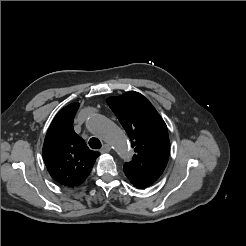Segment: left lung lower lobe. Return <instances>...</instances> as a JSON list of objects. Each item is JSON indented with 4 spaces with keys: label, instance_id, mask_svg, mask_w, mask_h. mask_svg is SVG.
Segmentation results:
<instances>
[{
    "label": "left lung lower lobe",
    "instance_id": "obj_1",
    "mask_svg": "<svg viewBox=\"0 0 246 246\" xmlns=\"http://www.w3.org/2000/svg\"><path fill=\"white\" fill-rule=\"evenodd\" d=\"M125 174L127 176V178L130 180V182L136 187V188H139V189H144V188H147L149 186H151L153 184V182L141 177V176H138L134 173H131L129 171H125Z\"/></svg>",
    "mask_w": 246,
    "mask_h": 246
}]
</instances>
